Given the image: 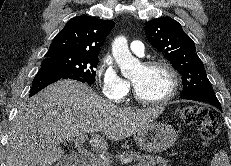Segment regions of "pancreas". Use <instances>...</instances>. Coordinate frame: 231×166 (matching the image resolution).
Instances as JSON below:
<instances>
[{
    "mask_svg": "<svg viewBox=\"0 0 231 166\" xmlns=\"http://www.w3.org/2000/svg\"><path fill=\"white\" fill-rule=\"evenodd\" d=\"M115 158L117 161H135L137 163L135 166H167V161L162 157L150 154H141L140 152L124 151L122 153H118ZM111 162L112 160L110 159L108 161L100 160L99 163L89 161L86 166H110Z\"/></svg>",
    "mask_w": 231,
    "mask_h": 166,
    "instance_id": "cf45deb5",
    "label": "pancreas"
}]
</instances>
